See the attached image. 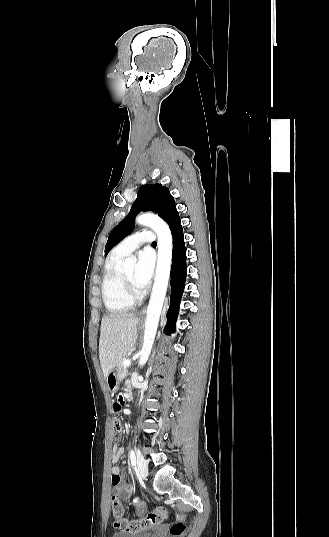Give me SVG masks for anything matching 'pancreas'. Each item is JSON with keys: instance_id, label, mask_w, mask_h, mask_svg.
I'll use <instances>...</instances> for the list:
<instances>
[{"instance_id": "cf45deb5", "label": "pancreas", "mask_w": 329, "mask_h": 537, "mask_svg": "<svg viewBox=\"0 0 329 537\" xmlns=\"http://www.w3.org/2000/svg\"><path fill=\"white\" fill-rule=\"evenodd\" d=\"M124 361L125 359H122L117 365V376L119 379L124 378L127 374V369L124 368Z\"/></svg>"}]
</instances>
